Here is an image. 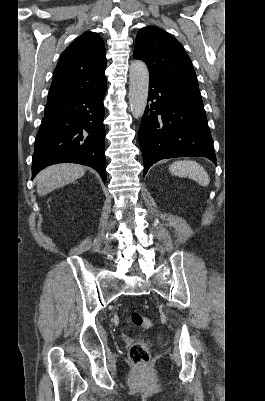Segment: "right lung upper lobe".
I'll use <instances>...</instances> for the list:
<instances>
[{
    "label": "right lung upper lobe",
    "mask_w": 265,
    "mask_h": 401,
    "mask_svg": "<svg viewBox=\"0 0 265 401\" xmlns=\"http://www.w3.org/2000/svg\"><path fill=\"white\" fill-rule=\"evenodd\" d=\"M106 51L94 32L78 37L60 56L47 104L88 94L106 87Z\"/></svg>",
    "instance_id": "cb5924a9"
}]
</instances>
